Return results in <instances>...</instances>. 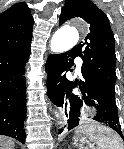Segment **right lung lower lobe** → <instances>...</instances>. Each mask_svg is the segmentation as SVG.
<instances>
[{
    "label": "right lung lower lobe",
    "instance_id": "obj_1",
    "mask_svg": "<svg viewBox=\"0 0 124 149\" xmlns=\"http://www.w3.org/2000/svg\"><path fill=\"white\" fill-rule=\"evenodd\" d=\"M30 44L19 49L0 51V134L24 143L26 81L24 66Z\"/></svg>",
    "mask_w": 124,
    "mask_h": 149
}]
</instances>
